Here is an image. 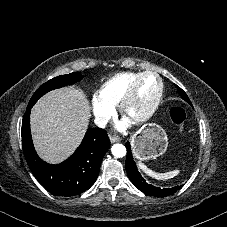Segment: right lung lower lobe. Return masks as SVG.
I'll list each match as a JSON object with an SVG mask.
<instances>
[{
	"label": "right lung lower lobe",
	"mask_w": 227,
	"mask_h": 227,
	"mask_svg": "<svg viewBox=\"0 0 227 227\" xmlns=\"http://www.w3.org/2000/svg\"><path fill=\"white\" fill-rule=\"evenodd\" d=\"M28 105L22 121V146L25 159L41 185L57 196H74L89 189L96 181L102 159L110 146L105 130L90 128L75 153L66 161L51 165L37 155L30 131Z\"/></svg>",
	"instance_id": "98d812e1"
}]
</instances>
